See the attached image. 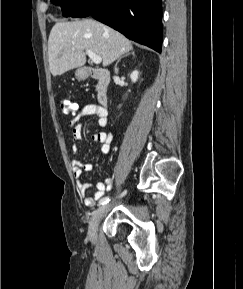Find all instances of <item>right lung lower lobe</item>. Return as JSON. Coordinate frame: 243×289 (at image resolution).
<instances>
[{"label":"right lung lower lobe","mask_w":243,"mask_h":289,"mask_svg":"<svg viewBox=\"0 0 243 289\" xmlns=\"http://www.w3.org/2000/svg\"><path fill=\"white\" fill-rule=\"evenodd\" d=\"M161 0H90L71 17L92 16L157 52L162 48Z\"/></svg>","instance_id":"1"}]
</instances>
